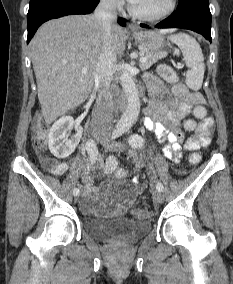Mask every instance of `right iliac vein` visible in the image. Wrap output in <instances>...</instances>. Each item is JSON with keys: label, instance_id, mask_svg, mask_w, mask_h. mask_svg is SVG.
I'll return each instance as SVG.
<instances>
[{"label": "right iliac vein", "instance_id": "63e3f726", "mask_svg": "<svg viewBox=\"0 0 233 284\" xmlns=\"http://www.w3.org/2000/svg\"><path fill=\"white\" fill-rule=\"evenodd\" d=\"M94 138L96 139V141L101 142V143L105 140V137L100 133H95ZM77 200H78V196L75 197V202H77Z\"/></svg>", "mask_w": 233, "mask_h": 284}]
</instances>
